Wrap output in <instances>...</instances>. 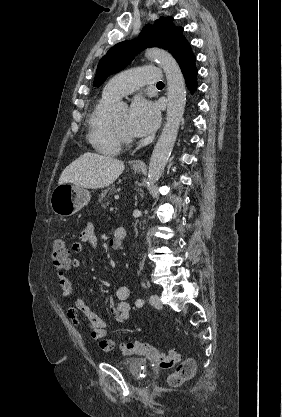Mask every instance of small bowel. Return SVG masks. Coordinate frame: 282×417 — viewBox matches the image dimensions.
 Segmentation results:
<instances>
[{"mask_svg": "<svg viewBox=\"0 0 282 417\" xmlns=\"http://www.w3.org/2000/svg\"><path fill=\"white\" fill-rule=\"evenodd\" d=\"M117 230V229H116ZM111 239V245H114V235ZM90 245L93 249H97L99 245L98 238L95 233V225L91 221H87L79 232V241L72 244V250L75 253H80L83 249V244ZM116 244V242H115ZM70 268L78 269L81 266V261L78 258H73L70 261ZM58 282L60 285V296L67 298L73 293L72 282L63 270L58 272ZM130 290L127 286H118L115 288L113 294L109 299L111 303L115 302V306L112 309V317L116 324L124 325L129 319L130 305L128 298ZM66 314L72 325L76 328H80L84 323L90 330L91 337L94 340H107L108 336V324L99 315H97L91 308L85 303L82 298H76L75 305L69 306L66 309ZM81 315L84 317V322L81 320Z\"/></svg>", "mask_w": 282, "mask_h": 417, "instance_id": "small-bowel-1", "label": "small bowel"}]
</instances>
